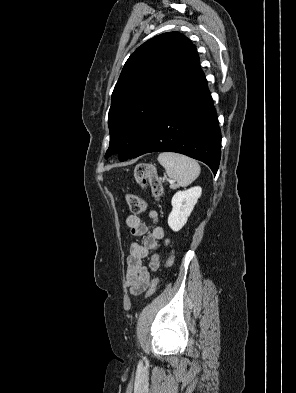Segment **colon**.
<instances>
[{
	"mask_svg": "<svg viewBox=\"0 0 296 393\" xmlns=\"http://www.w3.org/2000/svg\"><path fill=\"white\" fill-rule=\"evenodd\" d=\"M134 175L137 184L141 188H146L148 185H150L152 194L155 199H159L162 196L163 186L160 178L156 173V169L152 164L149 163L138 164L135 168ZM126 202L130 210L134 214H140L145 212L148 206L146 199L136 196L134 194H128L126 196ZM172 262H173V254L171 253L170 257L166 262V266H170ZM158 285H159V278H154L146 292L145 295L146 298L151 297L155 293Z\"/></svg>",
	"mask_w": 296,
	"mask_h": 393,
	"instance_id": "5ec220e1",
	"label": "colon"
}]
</instances>
